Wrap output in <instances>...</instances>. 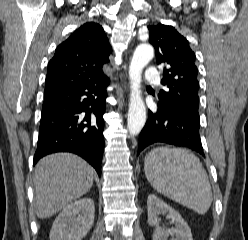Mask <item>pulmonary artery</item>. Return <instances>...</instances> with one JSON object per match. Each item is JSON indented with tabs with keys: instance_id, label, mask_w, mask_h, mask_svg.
<instances>
[{
	"instance_id": "obj_1",
	"label": "pulmonary artery",
	"mask_w": 248,
	"mask_h": 240,
	"mask_svg": "<svg viewBox=\"0 0 248 240\" xmlns=\"http://www.w3.org/2000/svg\"><path fill=\"white\" fill-rule=\"evenodd\" d=\"M145 80L149 83H158L160 81V72L155 69H148L145 73Z\"/></svg>"
}]
</instances>
